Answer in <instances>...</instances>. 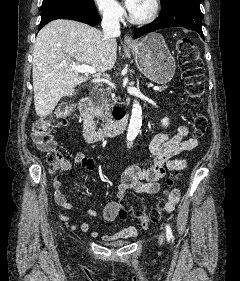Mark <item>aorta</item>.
Masks as SVG:
<instances>
[{"label":"aorta","mask_w":240,"mask_h":281,"mask_svg":"<svg viewBox=\"0 0 240 281\" xmlns=\"http://www.w3.org/2000/svg\"><path fill=\"white\" fill-rule=\"evenodd\" d=\"M142 126V108L138 101H134L131 119L127 131V141L132 142L137 137Z\"/></svg>","instance_id":"aorta-1"}]
</instances>
